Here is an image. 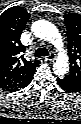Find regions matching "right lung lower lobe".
<instances>
[{
	"label": "right lung lower lobe",
	"instance_id": "obj_1",
	"mask_svg": "<svg viewBox=\"0 0 81 124\" xmlns=\"http://www.w3.org/2000/svg\"><path fill=\"white\" fill-rule=\"evenodd\" d=\"M32 78H33V75H32L23 85H21L19 88L14 89V90H12V91H18V90H20V89L26 87V86L31 82Z\"/></svg>",
	"mask_w": 81,
	"mask_h": 124
}]
</instances>
